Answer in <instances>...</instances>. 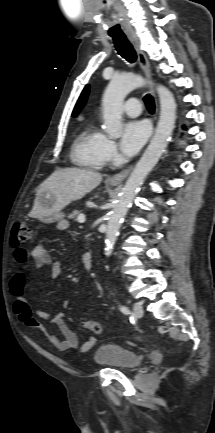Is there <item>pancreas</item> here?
Returning a JSON list of instances; mask_svg holds the SVG:
<instances>
[{
	"instance_id": "obj_1",
	"label": "pancreas",
	"mask_w": 215,
	"mask_h": 433,
	"mask_svg": "<svg viewBox=\"0 0 215 433\" xmlns=\"http://www.w3.org/2000/svg\"><path fill=\"white\" fill-rule=\"evenodd\" d=\"M80 212L78 210H74L71 214L68 215L69 219H75V217L79 214Z\"/></svg>"
}]
</instances>
